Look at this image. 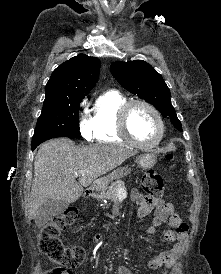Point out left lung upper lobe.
I'll return each instance as SVG.
<instances>
[{
    "label": "left lung upper lobe",
    "mask_w": 221,
    "mask_h": 274,
    "mask_svg": "<svg viewBox=\"0 0 221 274\" xmlns=\"http://www.w3.org/2000/svg\"><path fill=\"white\" fill-rule=\"evenodd\" d=\"M111 73L126 90L154 105L182 131L181 122L171 104L170 90L150 64L142 60L114 62L111 64Z\"/></svg>",
    "instance_id": "1"
}]
</instances>
